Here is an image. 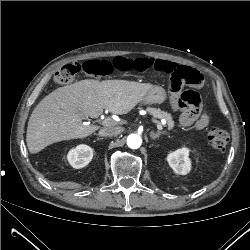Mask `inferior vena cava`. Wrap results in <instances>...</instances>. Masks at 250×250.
Segmentation results:
<instances>
[{
  "instance_id": "inferior-vena-cava-1",
  "label": "inferior vena cava",
  "mask_w": 250,
  "mask_h": 250,
  "mask_svg": "<svg viewBox=\"0 0 250 250\" xmlns=\"http://www.w3.org/2000/svg\"><path fill=\"white\" fill-rule=\"evenodd\" d=\"M121 132L119 127H104L100 129L99 135L100 136H115Z\"/></svg>"
}]
</instances>
